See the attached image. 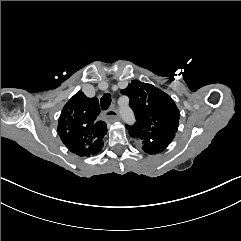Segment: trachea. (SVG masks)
Returning a JSON list of instances; mask_svg holds the SVG:
<instances>
[{
	"label": "trachea",
	"mask_w": 241,
	"mask_h": 241,
	"mask_svg": "<svg viewBox=\"0 0 241 241\" xmlns=\"http://www.w3.org/2000/svg\"><path fill=\"white\" fill-rule=\"evenodd\" d=\"M111 101H112V99H111L110 94H108V93L104 94L101 98V101H100L101 109L107 110L109 108L110 104H111Z\"/></svg>",
	"instance_id": "1"
}]
</instances>
